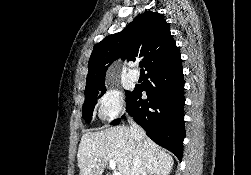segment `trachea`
Listing matches in <instances>:
<instances>
[{
  "mask_svg": "<svg viewBox=\"0 0 251 175\" xmlns=\"http://www.w3.org/2000/svg\"><path fill=\"white\" fill-rule=\"evenodd\" d=\"M139 67L141 68V71H143V62L139 63Z\"/></svg>",
  "mask_w": 251,
  "mask_h": 175,
  "instance_id": "trachea-1",
  "label": "trachea"
}]
</instances>
